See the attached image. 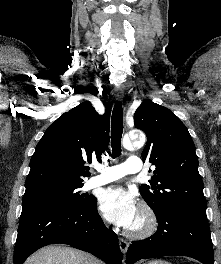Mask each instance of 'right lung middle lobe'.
<instances>
[{
    "label": "right lung middle lobe",
    "mask_w": 221,
    "mask_h": 264,
    "mask_svg": "<svg viewBox=\"0 0 221 264\" xmlns=\"http://www.w3.org/2000/svg\"><path fill=\"white\" fill-rule=\"evenodd\" d=\"M82 183L54 182L30 189L23 195L22 206H48L59 209H82L90 206L94 196L80 194Z\"/></svg>",
    "instance_id": "obj_1"
}]
</instances>
